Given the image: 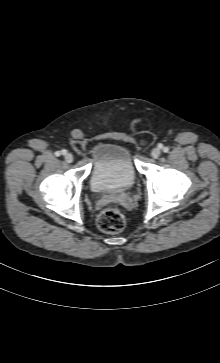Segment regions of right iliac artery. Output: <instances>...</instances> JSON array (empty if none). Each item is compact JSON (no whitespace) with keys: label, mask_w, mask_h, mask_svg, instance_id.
Here are the masks:
<instances>
[{"label":"right iliac artery","mask_w":220,"mask_h":363,"mask_svg":"<svg viewBox=\"0 0 220 363\" xmlns=\"http://www.w3.org/2000/svg\"><path fill=\"white\" fill-rule=\"evenodd\" d=\"M66 152H67L66 150L57 151V152H55V155H56V156H60V155H62V154H65Z\"/></svg>","instance_id":"obj_1"}]
</instances>
